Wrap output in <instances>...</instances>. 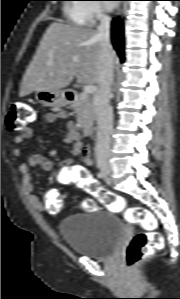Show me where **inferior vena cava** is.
<instances>
[{
	"instance_id": "602c4592",
	"label": "inferior vena cava",
	"mask_w": 180,
	"mask_h": 299,
	"mask_svg": "<svg viewBox=\"0 0 180 299\" xmlns=\"http://www.w3.org/2000/svg\"><path fill=\"white\" fill-rule=\"evenodd\" d=\"M100 25L97 35L102 41L100 54L98 89L94 95L93 106L97 116L98 135L96 156L106 158L110 153L111 134L113 128V111L109 105L111 84L113 82L114 62L110 44V20L108 15L99 14Z\"/></svg>"
}]
</instances>
